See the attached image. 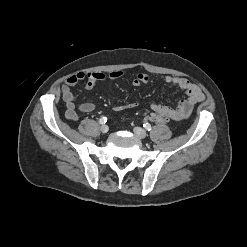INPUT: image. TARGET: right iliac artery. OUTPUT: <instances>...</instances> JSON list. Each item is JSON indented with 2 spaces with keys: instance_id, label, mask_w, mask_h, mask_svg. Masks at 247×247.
Returning <instances> with one entry per match:
<instances>
[{
  "instance_id": "right-iliac-artery-1",
  "label": "right iliac artery",
  "mask_w": 247,
  "mask_h": 247,
  "mask_svg": "<svg viewBox=\"0 0 247 247\" xmlns=\"http://www.w3.org/2000/svg\"><path fill=\"white\" fill-rule=\"evenodd\" d=\"M107 122V118L106 117H101L99 120L100 124H105Z\"/></svg>"
}]
</instances>
